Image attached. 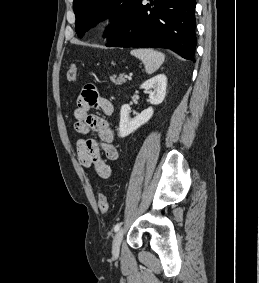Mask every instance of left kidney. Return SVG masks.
I'll return each mask as SVG.
<instances>
[{
  "label": "left kidney",
  "mask_w": 259,
  "mask_h": 283,
  "mask_svg": "<svg viewBox=\"0 0 259 283\" xmlns=\"http://www.w3.org/2000/svg\"><path fill=\"white\" fill-rule=\"evenodd\" d=\"M166 86V76L164 74H159L145 81L140 88L148 91L149 101L152 105H158L162 103L165 98ZM153 112V108L149 107L141 112V114L131 118L129 115L130 106L127 104L123 105L120 110L119 137L124 138L147 123L151 119Z\"/></svg>",
  "instance_id": "5707ae66"
}]
</instances>
